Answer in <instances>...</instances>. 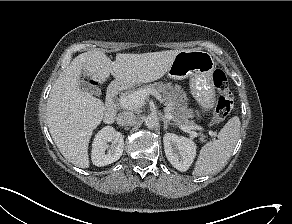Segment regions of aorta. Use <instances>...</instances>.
Masks as SVG:
<instances>
[{"mask_svg": "<svg viewBox=\"0 0 292 224\" xmlns=\"http://www.w3.org/2000/svg\"><path fill=\"white\" fill-rule=\"evenodd\" d=\"M145 124L148 129H154L158 126L159 120L155 115H148L145 120Z\"/></svg>", "mask_w": 292, "mask_h": 224, "instance_id": "762f6f07", "label": "aorta"}]
</instances>
